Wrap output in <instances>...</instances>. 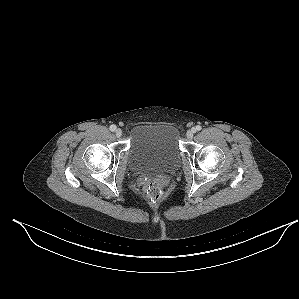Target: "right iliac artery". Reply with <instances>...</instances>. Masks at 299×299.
<instances>
[{
	"label": "right iliac artery",
	"mask_w": 299,
	"mask_h": 299,
	"mask_svg": "<svg viewBox=\"0 0 299 299\" xmlns=\"http://www.w3.org/2000/svg\"><path fill=\"white\" fill-rule=\"evenodd\" d=\"M110 130L114 132L116 130V125H111Z\"/></svg>",
	"instance_id": "obj_1"
}]
</instances>
